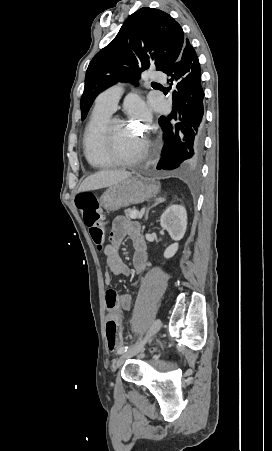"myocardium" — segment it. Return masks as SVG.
<instances>
[{"mask_svg":"<svg viewBox=\"0 0 272 451\" xmlns=\"http://www.w3.org/2000/svg\"><path fill=\"white\" fill-rule=\"evenodd\" d=\"M116 121H124V119L120 117H109L104 123L99 134V139L104 143L109 160H111V153L113 151H117L113 136V124ZM142 149V146H134L127 154L118 156L117 162L123 164L134 161L140 156Z\"/></svg>","mask_w":272,"mask_h":451,"instance_id":"myocardium-1","label":"myocardium"}]
</instances>
